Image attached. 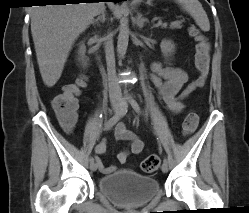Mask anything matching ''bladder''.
Listing matches in <instances>:
<instances>
[{
  "label": "bladder",
  "mask_w": 249,
  "mask_h": 213,
  "mask_svg": "<svg viewBox=\"0 0 249 213\" xmlns=\"http://www.w3.org/2000/svg\"><path fill=\"white\" fill-rule=\"evenodd\" d=\"M98 190L117 205L141 206L158 193L159 184L151 176L125 169L100 177Z\"/></svg>",
  "instance_id": "1"
}]
</instances>
